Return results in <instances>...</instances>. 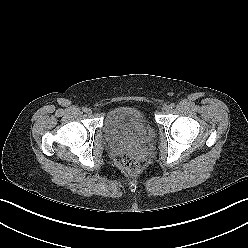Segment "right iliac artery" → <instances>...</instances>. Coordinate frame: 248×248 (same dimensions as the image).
Here are the masks:
<instances>
[{
    "label": "right iliac artery",
    "instance_id": "82829eb1",
    "mask_svg": "<svg viewBox=\"0 0 248 248\" xmlns=\"http://www.w3.org/2000/svg\"><path fill=\"white\" fill-rule=\"evenodd\" d=\"M82 111L83 112H86L87 111V108L86 107H82Z\"/></svg>",
    "mask_w": 248,
    "mask_h": 248
}]
</instances>
